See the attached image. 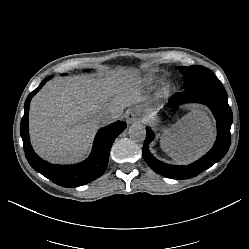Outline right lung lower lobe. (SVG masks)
Instances as JSON below:
<instances>
[{
	"mask_svg": "<svg viewBox=\"0 0 249 249\" xmlns=\"http://www.w3.org/2000/svg\"><path fill=\"white\" fill-rule=\"evenodd\" d=\"M51 77L45 78L36 90L31 92L24 104V115L21 120L20 134L23 140L25 156L34 170L54 183L64 187H77L95 180L103 175L107 168L109 153L114 140L126 128L122 121L112 123L98 131L95 136L90 156L83 162L74 165H55L42 160L34 152L29 138L28 113L32 97Z\"/></svg>",
	"mask_w": 249,
	"mask_h": 249,
	"instance_id": "obj_1",
	"label": "right lung lower lobe"
}]
</instances>
